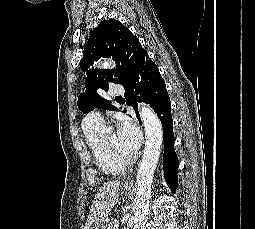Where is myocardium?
<instances>
[{
	"label": "myocardium",
	"mask_w": 255,
	"mask_h": 229,
	"mask_svg": "<svg viewBox=\"0 0 255 229\" xmlns=\"http://www.w3.org/2000/svg\"><path fill=\"white\" fill-rule=\"evenodd\" d=\"M103 147L105 149V151L108 153V155L117 163L127 167V166H131L134 161H135V156H131L130 158H123L121 156H119L118 154H116L115 152H113L105 143V141H103Z\"/></svg>",
	"instance_id": "obj_1"
}]
</instances>
